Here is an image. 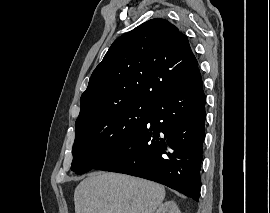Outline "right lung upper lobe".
I'll return each instance as SVG.
<instances>
[{"label":"right lung upper lobe","instance_id":"right-lung-upper-lobe-1","mask_svg":"<svg viewBox=\"0 0 270 213\" xmlns=\"http://www.w3.org/2000/svg\"><path fill=\"white\" fill-rule=\"evenodd\" d=\"M197 68L186 35L165 19L146 21L116 39L93 71L76 123L133 102L155 104Z\"/></svg>","mask_w":270,"mask_h":213}]
</instances>
